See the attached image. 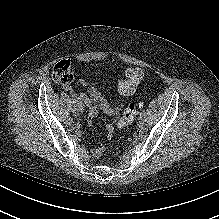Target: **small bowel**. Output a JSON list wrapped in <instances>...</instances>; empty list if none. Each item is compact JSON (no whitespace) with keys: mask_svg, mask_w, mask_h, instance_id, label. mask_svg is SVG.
Segmentation results:
<instances>
[{"mask_svg":"<svg viewBox=\"0 0 219 219\" xmlns=\"http://www.w3.org/2000/svg\"><path fill=\"white\" fill-rule=\"evenodd\" d=\"M81 84H82L83 86H87V85H88L87 82L84 81V80L81 81ZM67 90L70 92L71 96H72L74 99H76V100H78V101H81V102H84L85 104H87L88 106H90L92 110H95V109H97V108H99V107H102V106L104 105L103 102L94 101V100H92L90 97H88V96L85 95V94H76V93L73 91L72 87H70V86L67 87ZM101 153H102V147H99V148L94 149V150L92 151V155L95 156V157L99 156Z\"/></svg>","mask_w":219,"mask_h":219,"instance_id":"1","label":"small bowel"}]
</instances>
